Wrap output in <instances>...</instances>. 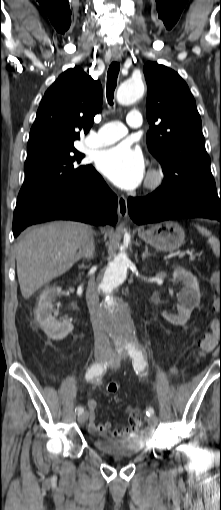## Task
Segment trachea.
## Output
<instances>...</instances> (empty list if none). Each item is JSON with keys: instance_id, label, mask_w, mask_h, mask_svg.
<instances>
[{"instance_id": "1", "label": "trachea", "mask_w": 221, "mask_h": 510, "mask_svg": "<svg viewBox=\"0 0 221 510\" xmlns=\"http://www.w3.org/2000/svg\"><path fill=\"white\" fill-rule=\"evenodd\" d=\"M120 71V64L117 62H112L109 66L107 73V88H106V96L108 103L113 105V97L114 91L117 85V78Z\"/></svg>"}]
</instances>
